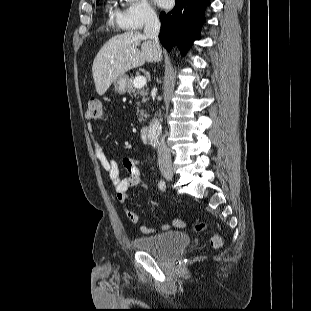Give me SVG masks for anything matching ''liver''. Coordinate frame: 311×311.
Instances as JSON below:
<instances>
[{
	"label": "liver",
	"instance_id": "obj_1",
	"mask_svg": "<svg viewBox=\"0 0 311 311\" xmlns=\"http://www.w3.org/2000/svg\"><path fill=\"white\" fill-rule=\"evenodd\" d=\"M159 54L153 41L138 31L112 37L103 45L93 62L92 74L97 93L104 95L118 77L145 62L158 61Z\"/></svg>",
	"mask_w": 311,
	"mask_h": 311
}]
</instances>
